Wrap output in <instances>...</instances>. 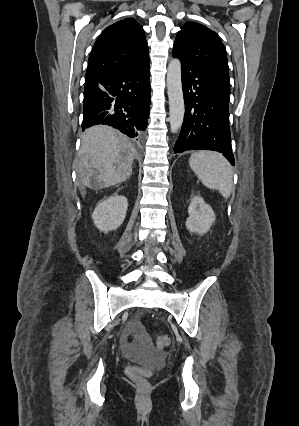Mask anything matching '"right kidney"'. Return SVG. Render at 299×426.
<instances>
[{"mask_svg": "<svg viewBox=\"0 0 299 426\" xmlns=\"http://www.w3.org/2000/svg\"><path fill=\"white\" fill-rule=\"evenodd\" d=\"M128 208L127 198L113 194L101 201L92 214L95 226L105 233L116 230L124 221Z\"/></svg>", "mask_w": 299, "mask_h": 426, "instance_id": "ca27d5eb", "label": "right kidney"}]
</instances>
